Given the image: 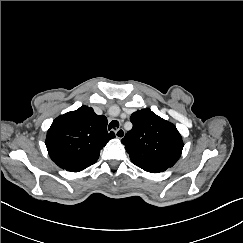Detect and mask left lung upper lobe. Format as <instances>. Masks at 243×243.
I'll use <instances>...</instances> for the list:
<instances>
[{"mask_svg": "<svg viewBox=\"0 0 243 243\" xmlns=\"http://www.w3.org/2000/svg\"><path fill=\"white\" fill-rule=\"evenodd\" d=\"M133 128L122 143L135 165L167 169L172 167L183 149V141L176 127L149 109L134 112Z\"/></svg>", "mask_w": 243, "mask_h": 243, "instance_id": "left-lung-upper-lobe-1", "label": "left lung upper lobe"}]
</instances>
